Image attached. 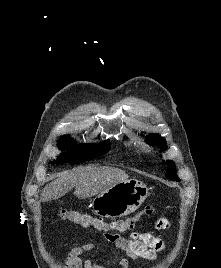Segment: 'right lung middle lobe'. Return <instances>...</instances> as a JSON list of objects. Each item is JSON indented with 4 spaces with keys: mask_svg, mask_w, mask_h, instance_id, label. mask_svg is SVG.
Returning a JSON list of instances; mask_svg holds the SVG:
<instances>
[{
    "mask_svg": "<svg viewBox=\"0 0 221 268\" xmlns=\"http://www.w3.org/2000/svg\"><path fill=\"white\" fill-rule=\"evenodd\" d=\"M58 148L70 149V151L59 156L56 161L51 162L52 164H75L106 154L110 149V142L107 140L97 146L93 144L77 145L69 136H64L58 141Z\"/></svg>",
    "mask_w": 221,
    "mask_h": 268,
    "instance_id": "1",
    "label": "right lung middle lobe"
}]
</instances>
